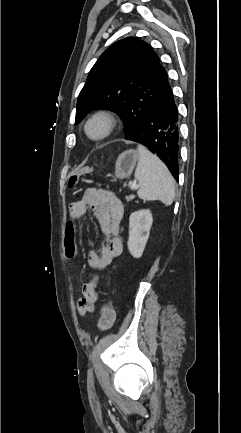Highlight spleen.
<instances>
[{
	"label": "spleen",
	"mask_w": 241,
	"mask_h": 433,
	"mask_svg": "<svg viewBox=\"0 0 241 433\" xmlns=\"http://www.w3.org/2000/svg\"><path fill=\"white\" fill-rule=\"evenodd\" d=\"M135 178L140 188L137 195L143 201L159 200L170 206L175 198V181L166 165L144 146H138Z\"/></svg>",
	"instance_id": "obj_1"
}]
</instances>
